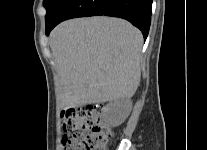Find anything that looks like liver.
<instances>
[{
	"label": "liver",
	"instance_id": "1",
	"mask_svg": "<svg viewBox=\"0 0 207 150\" xmlns=\"http://www.w3.org/2000/svg\"><path fill=\"white\" fill-rule=\"evenodd\" d=\"M141 32L104 16L59 24L50 35L65 109L131 98L140 83Z\"/></svg>",
	"mask_w": 207,
	"mask_h": 150
}]
</instances>
